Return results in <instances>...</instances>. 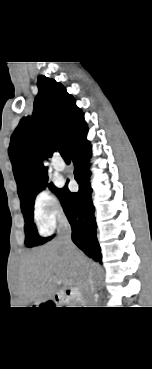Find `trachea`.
<instances>
[{"label":"trachea","instance_id":"3493384b","mask_svg":"<svg viewBox=\"0 0 152 369\" xmlns=\"http://www.w3.org/2000/svg\"><path fill=\"white\" fill-rule=\"evenodd\" d=\"M59 152L61 156L63 157V159H69L68 152L64 146L60 148Z\"/></svg>","mask_w":152,"mask_h":369}]
</instances>
